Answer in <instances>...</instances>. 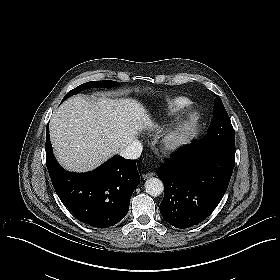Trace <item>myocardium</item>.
<instances>
[{"mask_svg":"<svg viewBox=\"0 0 280 280\" xmlns=\"http://www.w3.org/2000/svg\"><path fill=\"white\" fill-rule=\"evenodd\" d=\"M198 119V114L194 112L183 122H177L173 125L168 130L162 145L160 146V150L166 152L178 148L189 136Z\"/></svg>","mask_w":280,"mask_h":280,"instance_id":"1","label":"myocardium"}]
</instances>
